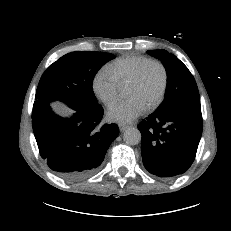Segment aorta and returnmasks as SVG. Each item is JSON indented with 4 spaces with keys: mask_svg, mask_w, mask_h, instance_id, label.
<instances>
[{
    "mask_svg": "<svg viewBox=\"0 0 231 231\" xmlns=\"http://www.w3.org/2000/svg\"><path fill=\"white\" fill-rule=\"evenodd\" d=\"M123 140L127 145H137L141 141V132L135 127H129L124 131Z\"/></svg>",
    "mask_w": 231,
    "mask_h": 231,
    "instance_id": "aorta-1",
    "label": "aorta"
}]
</instances>
